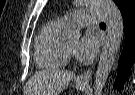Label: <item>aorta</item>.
I'll return each instance as SVG.
<instances>
[{
    "label": "aorta",
    "instance_id": "aorta-1",
    "mask_svg": "<svg viewBox=\"0 0 135 95\" xmlns=\"http://www.w3.org/2000/svg\"><path fill=\"white\" fill-rule=\"evenodd\" d=\"M83 4L100 9L106 19L107 38L100 54L94 81V95H102L103 87L115 62L123 38V18L113 0H84ZM67 37L70 40H77L80 33L70 30L67 32Z\"/></svg>",
    "mask_w": 135,
    "mask_h": 95
}]
</instances>
